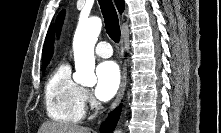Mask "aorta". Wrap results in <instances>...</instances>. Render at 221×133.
<instances>
[{"mask_svg":"<svg viewBox=\"0 0 221 133\" xmlns=\"http://www.w3.org/2000/svg\"><path fill=\"white\" fill-rule=\"evenodd\" d=\"M102 28V21L92 17L80 21L73 39L75 73L77 83L92 86L96 83L94 46ZM117 133H121L118 131Z\"/></svg>","mask_w":221,"mask_h":133,"instance_id":"obj_1","label":"aorta"}]
</instances>
